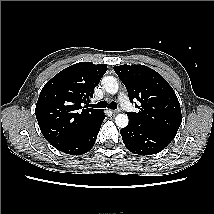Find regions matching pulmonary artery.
Listing matches in <instances>:
<instances>
[{"label": "pulmonary artery", "mask_w": 214, "mask_h": 214, "mask_svg": "<svg viewBox=\"0 0 214 214\" xmlns=\"http://www.w3.org/2000/svg\"><path fill=\"white\" fill-rule=\"evenodd\" d=\"M119 101L121 106L126 109L127 111H131L132 110V105L128 99V97L126 96V94L122 93L119 95Z\"/></svg>", "instance_id": "pulmonary-artery-1"}]
</instances>
